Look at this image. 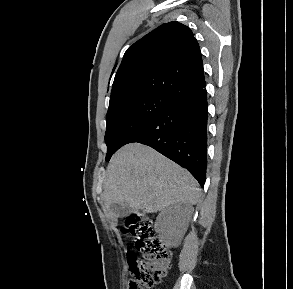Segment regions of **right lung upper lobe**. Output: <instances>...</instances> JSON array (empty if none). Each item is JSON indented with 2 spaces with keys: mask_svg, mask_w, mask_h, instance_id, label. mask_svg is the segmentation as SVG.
I'll list each match as a JSON object with an SVG mask.
<instances>
[{
  "mask_svg": "<svg viewBox=\"0 0 293 289\" xmlns=\"http://www.w3.org/2000/svg\"><path fill=\"white\" fill-rule=\"evenodd\" d=\"M205 86L201 52L192 31L169 22L127 49L115 75L109 106L140 95H161L175 102Z\"/></svg>",
  "mask_w": 293,
  "mask_h": 289,
  "instance_id": "1",
  "label": "right lung upper lobe"
}]
</instances>
